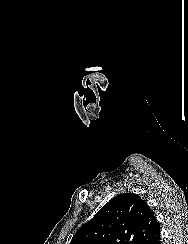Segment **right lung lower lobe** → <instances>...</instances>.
Instances as JSON below:
<instances>
[{
  "label": "right lung lower lobe",
  "mask_w": 188,
  "mask_h": 244,
  "mask_svg": "<svg viewBox=\"0 0 188 244\" xmlns=\"http://www.w3.org/2000/svg\"><path fill=\"white\" fill-rule=\"evenodd\" d=\"M147 244H161L160 227L153 233Z\"/></svg>",
  "instance_id": "98d812e1"
}]
</instances>
